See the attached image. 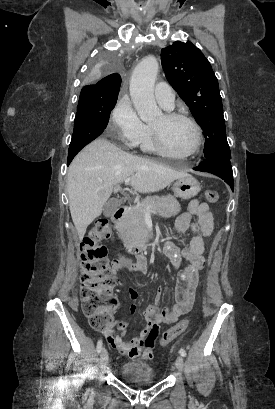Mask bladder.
Instances as JSON below:
<instances>
[{
  "label": "bladder",
  "mask_w": 275,
  "mask_h": 409,
  "mask_svg": "<svg viewBox=\"0 0 275 409\" xmlns=\"http://www.w3.org/2000/svg\"><path fill=\"white\" fill-rule=\"evenodd\" d=\"M119 377L129 386L136 384L150 385L158 382L151 364L143 361H128L122 364Z\"/></svg>",
  "instance_id": "bladder-1"
}]
</instances>
